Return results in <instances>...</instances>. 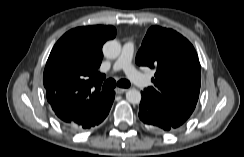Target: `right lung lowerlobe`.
<instances>
[{"label": "right lung lower lobe", "mask_w": 244, "mask_h": 157, "mask_svg": "<svg viewBox=\"0 0 244 157\" xmlns=\"http://www.w3.org/2000/svg\"><path fill=\"white\" fill-rule=\"evenodd\" d=\"M114 97H115V92L111 91L108 101L102 106L101 109H99L98 111L93 113L89 119L85 120L86 123H80V124L64 123V124L67 127L74 129V130L90 129L96 125H99L108 115L110 108L112 106Z\"/></svg>", "instance_id": "1"}]
</instances>
